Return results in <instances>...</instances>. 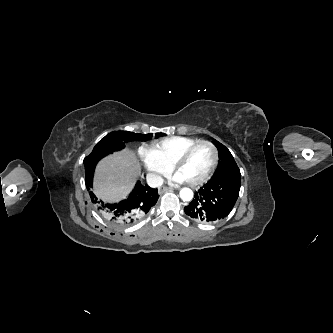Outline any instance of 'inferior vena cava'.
Instances as JSON below:
<instances>
[{"instance_id": "inferior-vena-cava-1", "label": "inferior vena cava", "mask_w": 333, "mask_h": 333, "mask_svg": "<svg viewBox=\"0 0 333 333\" xmlns=\"http://www.w3.org/2000/svg\"><path fill=\"white\" fill-rule=\"evenodd\" d=\"M147 184L152 188H159L163 184V178L158 174L150 173L146 177Z\"/></svg>"}]
</instances>
